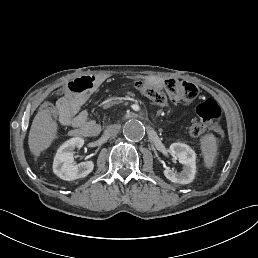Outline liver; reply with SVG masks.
I'll use <instances>...</instances> for the list:
<instances>
[{
    "label": "liver",
    "mask_w": 258,
    "mask_h": 258,
    "mask_svg": "<svg viewBox=\"0 0 258 258\" xmlns=\"http://www.w3.org/2000/svg\"><path fill=\"white\" fill-rule=\"evenodd\" d=\"M56 132V124L51 120L48 110H43L35 116L29 133L30 150L38 155L52 142Z\"/></svg>",
    "instance_id": "6515ba94"
}]
</instances>
